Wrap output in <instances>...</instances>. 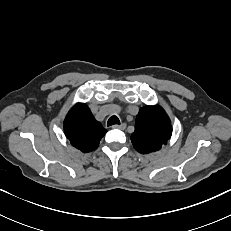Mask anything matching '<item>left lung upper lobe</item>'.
Returning a JSON list of instances; mask_svg holds the SVG:
<instances>
[{"mask_svg": "<svg viewBox=\"0 0 231 231\" xmlns=\"http://www.w3.org/2000/svg\"><path fill=\"white\" fill-rule=\"evenodd\" d=\"M172 127L165 111L158 105L142 107L136 117L131 141L141 154L155 152L167 143Z\"/></svg>", "mask_w": 231, "mask_h": 231, "instance_id": "obj_1", "label": "left lung upper lobe"}]
</instances>
